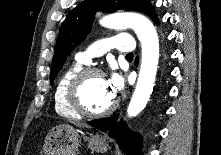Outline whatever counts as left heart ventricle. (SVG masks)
I'll list each match as a JSON object with an SVG mask.
<instances>
[{"instance_id": "left-heart-ventricle-1", "label": "left heart ventricle", "mask_w": 221, "mask_h": 155, "mask_svg": "<svg viewBox=\"0 0 221 155\" xmlns=\"http://www.w3.org/2000/svg\"><path fill=\"white\" fill-rule=\"evenodd\" d=\"M80 98L84 106L94 112L107 108L114 99L105 76L89 77L81 87Z\"/></svg>"}]
</instances>
